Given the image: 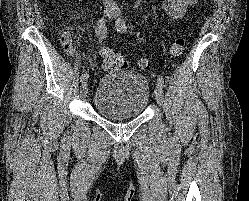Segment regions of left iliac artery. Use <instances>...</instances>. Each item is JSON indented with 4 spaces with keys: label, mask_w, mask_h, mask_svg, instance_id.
I'll use <instances>...</instances> for the list:
<instances>
[{
    "label": "left iliac artery",
    "mask_w": 249,
    "mask_h": 201,
    "mask_svg": "<svg viewBox=\"0 0 249 201\" xmlns=\"http://www.w3.org/2000/svg\"><path fill=\"white\" fill-rule=\"evenodd\" d=\"M116 26H117V30L121 33H127L128 31V27L126 25V22L123 18H119L116 21ZM157 83L159 85H161L162 87H164L165 83H164V79L161 75L158 76L157 78Z\"/></svg>",
    "instance_id": "44dca946"
}]
</instances>
